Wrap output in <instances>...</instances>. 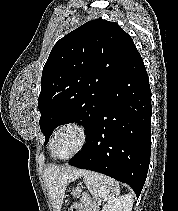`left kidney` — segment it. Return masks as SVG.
<instances>
[{
	"label": "left kidney",
	"mask_w": 178,
	"mask_h": 211,
	"mask_svg": "<svg viewBox=\"0 0 178 211\" xmlns=\"http://www.w3.org/2000/svg\"><path fill=\"white\" fill-rule=\"evenodd\" d=\"M133 196L126 194L119 198L109 200L102 208V211H132Z\"/></svg>",
	"instance_id": "5707ae66"
}]
</instances>
